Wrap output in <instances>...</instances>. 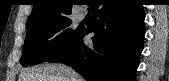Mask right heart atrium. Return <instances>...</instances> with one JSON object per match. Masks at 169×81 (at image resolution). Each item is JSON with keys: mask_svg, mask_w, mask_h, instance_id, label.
I'll use <instances>...</instances> for the list:
<instances>
[{"mask_svg": "<svg viewBox=\"0 0 169 81\" xmlns=\"http://www.w3.org/2000/svg\"><path fill=\"white\" fill-rule=\"evenodd\" d=\"M63 37V30L61 28L54 29L49 36L50 43L53 45H58Z\"/></svg>", "mask_w": 169, "mask_h": 81, "instance_id": "1", "label": "right heart atrium"}]
</instances>
